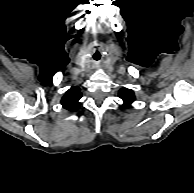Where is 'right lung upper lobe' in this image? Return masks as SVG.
Segmentation results:
<instances>
[{"label":"right lung upper lobe","mask_w":194,"mask_h":193,"mask_svg":"<svg viewBox=\"0 0 194 193\" xmlns=\"http://www.w3.org/2000/svg\"><path fill=\"white\" fill-rule=\"evenodd\" d=\"M81 97L82 94L80 92V88L71 87L62 98L61 103L67 110L76 111L80 106L78 101Z\"/></svg>","instance_id":"cb5924a9"}]
</instances>
